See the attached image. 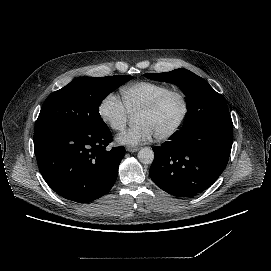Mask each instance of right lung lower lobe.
Returning <instances> with one entry per match:
<instances>
[{
    "mask_svg": "<svg viewBox=\"0 0 271 271\" xmlns=\"http://www.w3.org/2000/svg\"><path fill=\"white\" fill-rule=\"evenodd\" d=\"M112 134L104 123L93 128L48 124L35 129L34 149L39 170L60 196L87 203L114 185L124 147L106 149Z\"/></svg>",
    "mask_w": 271,
    "mask_h": 271,
    "instance_id": "obj_1",
    "label": "right lung lower lobe"
}]
</instances>
